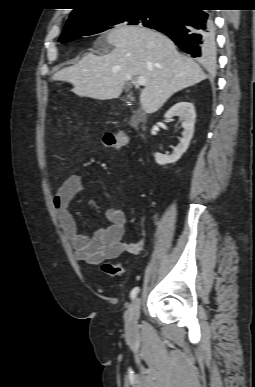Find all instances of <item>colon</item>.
<instances>
[{"label":"colon","instance_id":"1","mask_svg":"<svg viewBox=\"0 0 255 387\" xmlns=\"http://www.w3.org/2000/svg\"><path fill=\"white\" fill-rule=\"evenodd\" d=\"M102 143L107 148L119 149L129 145L130 138L125 133L107 132L102 137ZM101 270L111 276H119L124 272V269L120 265L110 262H103L101 264Z\"/></svg>","mask_w":255,"mask_h":387}]
</instances>
